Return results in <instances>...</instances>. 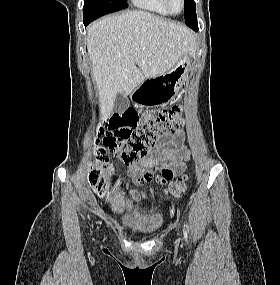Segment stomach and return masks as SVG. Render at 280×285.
<instances>
[{
	"instance_id": "stomach-1",
	"label": "stomach",
	"mask_w": 280,
	"mask_h": 285,
	"mask_svg": "<svg viewBox=\"0 0 280 285\" xmlns=\"http://www.w3.org/2000/svg\"><path fill=\"white\" fill-rule=\"evenodd\" d=\"M190 61V53H184L167 72L143 81L133 90V100L143 106H159L170 102L183 85Z\"/></svg>"
}]
</instances>
